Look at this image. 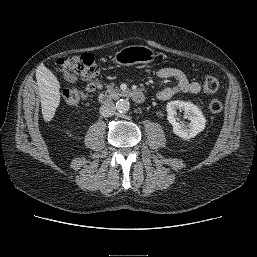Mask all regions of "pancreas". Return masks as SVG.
Listing matches in <instances>:
<instances>
[{"label":"pancreas","instance_id":"cf45deb5","mask_svg":"<svg viewBox=\"0 0 257 257\" xmlns=\"http://www.w3.org/2000/svg\"><path fill=\"white\" fill-rule=\"evenodd\" d=\"M106 88H107L106 92L112 98H116L122 95V91L119 88L114 87V84L107 85Z\"/></svg>","mask_w":257,"mask_h":257}]
</instances>
